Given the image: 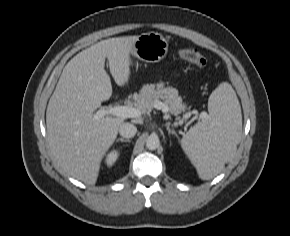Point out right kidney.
Wrapping results in <instances>:
<instances>
[{
    "label": "right kidney",
    "instance_id": "ca27d5eb",
    "mask_svg": "<svg viewBox=\"0 0 290 236\" xmlns=\"http://www.w3.org/2000/svg\"><path fill=\"white\" fill-rule=\"evenodd\" d=\"M119 155H120L119 150H112L111 152H109L105 159L106 165L108 167L112 166L118 159Z\"/></svg>",
    "mask_w": 290,
    "mask_h": 236
}]
</instances>
